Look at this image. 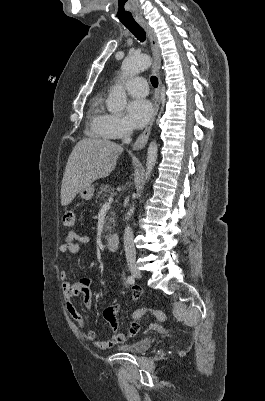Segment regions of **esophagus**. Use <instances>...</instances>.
<instances>
[{"instance_id":"1","label":"esophagus","mask_w":265,"mask_h":401,"mask_svg":"<svg viewBox=\"0 0 265 401\" xmlns=\"http://www.w3.org/2000/svg\"><path fill=\"white\" fill-rule=\"evenodd\" d=\"M139 25L144 28L145 32L150 41V46L153 55V64H152V72L158 78V87L155 90V101H154V110L150 121L148 122L145 130L138 136L137 140L133 145L134 150H141L147 144L148 137L150 135V130L154 123V120L157 116L160 99H161V76H160V68H161V55H160V47L158 44V39L150 25L145 20H138Z\"/></svg>"}]
</instances>
